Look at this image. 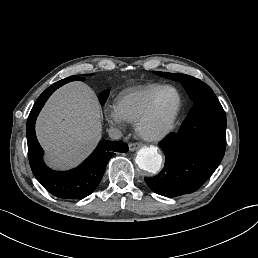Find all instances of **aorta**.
I'll return each instance as SVG.
<instances>
[{"instance_id":"aorta-1","label":"aorta","mask_w":258,"mask_h":258,"mask_svg":"<svg viewBox=\"0 0 258 258\" xmlns=\"http://www.w3.org/2000/svg\"><path fill=\"white\" fill-rule=\"evenodd\" d=\"M135 161L140 169L149 173H156L160 170L163 159L157 147L150 146L141 148L137 153Z\"/></svg>"}]
</instances>
